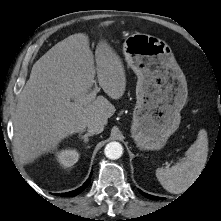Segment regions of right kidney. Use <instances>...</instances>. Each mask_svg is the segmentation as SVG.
<instances>
[{"mask_svg": "<svg viewBox=\"0 0 221 221\" xmlns=\"http://www.w3.org/2000/svg\"><path fill=\"white\" fill-rule=\"evenodd\" d=\"M80 154L75 149H62L56 153L57 162L64 168L73 166L79 159Z\"/></svg>", "mask_w": 221, "mask_h": 221, "instance_id": "ca27d5eb", "label": "right kidney"}]
</instances>
